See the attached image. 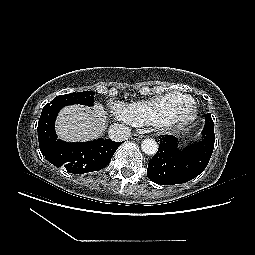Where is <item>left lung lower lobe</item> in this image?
Listing matches in <instances>:
<instances>
[{
	"label": "left lung lower lobe",
	"instance_id": "0a47b994",
	"mask_svg": "<svg viewBox=\"0 0 255 255\" xmlns=\"http://www.w3.org/2000/svg\"><path fill=\"white\" fill-rule=\"evenodd\" d=\"M215 142L214 124L211 114L205 116L202 140L181 150L178 140L172 135L160 137L159 149L149 161L147 176L160 185L188 182L206 168Z\"/></svg>",
	"mask_w": 255,
	"mask_h": 255
}]
</instances>
